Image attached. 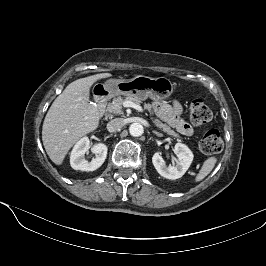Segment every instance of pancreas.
I'll list each match as a JSON object with an SVG mask.
<instances>
[{"label":"pancreas","instance_id":"pancreas-1","mask_svg":"<svg viewBox=\"0 0 266 266\" xmlns=\"http://www.w3.org/2000/svg\"><path fill=\"white\" fill-rule=\"evenodd\" d=\"M124 101H132V102H134L135 104H138V105L141 103V100H139V99H137V98H135L133 96H127V97H125V99L122 98L121 96H119L117 98H114L112 102L107 104L106 110L109 113L116 114V115H121V114H123L122 108H123ZM144 108L146 110H148L151 115L153 114L152 109H151V105L144 103ZM151 119H152V122L158 128H160L162 131L166 132L169 135H173L175 137H179V135L174 130H172L168 125L162 123L159 119L152 118V117H151Z\"/></svg>","mask_w":266,"mask_h":266}]
</instances>
